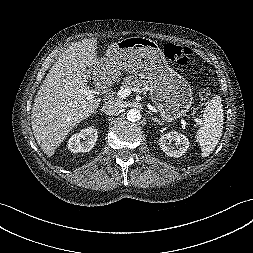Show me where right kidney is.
<instances>
[{"label": "right kidney", "instance_id": "right-kidney-1", "mask_svg": "<svg viewBox=\"0 0 253 253\" xmlns=\"http://www.w3.org/2000/svg\"><path fill=\"white\" fill-rule=\"evenodd\" d=\"M97 137V130L88 127L82 129L79 133L73 134L68 140L67 147L74 153L88 152L94 147Z\"/></svg>", "mask_w": 253, "mask_h": 253}]
</instances>
